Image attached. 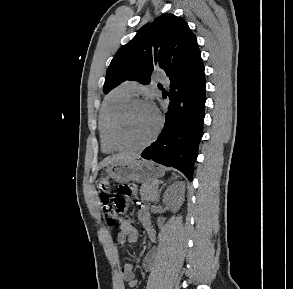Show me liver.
Segmentation results:
<instances>
[{"label":"liver","mask_w":293,"mask_h":289,"mask_svg":"<svg viewBox=\"0 0 293 289\" xmlns=\"http://www.w3.org/2000/svg\"><path fill=\"white\" fill-rule=\"evenodd\" d=\"M137 158H139L138 154L119 153V154H115L109 158L104 159L102 162V166L103 167L108 166V165H111L117 161H128V160H134Z\"/></svg>","instance_id":"obj_1"}]
</instances>
